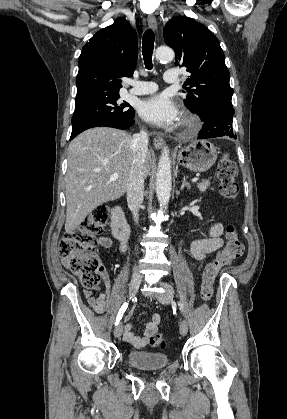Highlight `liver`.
Masks as SVG:
<instances>
[{
	"mask_svg": "<svg viewBox=\"0 0 287 419\" xmlns=\"http://www.w3.org/2000/svg\"><path fill=\"white\" fill-rule=\"evenodd\" d=\"M132 136L114 128H92L69 144L65 178L66 233H72L101 204L120 198L127 191L133 160ZM152 166L147 150L145 177ZM113 173L118 174L110 181Z\"/></svg>",
	"mask_w": 287,
	"mask_h": 419,
	"instance_id": "liver-1",
	"label": "liver"
}]
</instances>
